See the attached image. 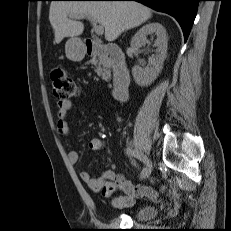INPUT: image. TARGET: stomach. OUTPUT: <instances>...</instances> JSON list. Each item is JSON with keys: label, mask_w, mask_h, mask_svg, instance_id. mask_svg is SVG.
Returning <instances> with one entry per match:
<instances>
[{"label": "stomach", "mask_w": 231, "mask_h": 231, "mask_svg": "<svg viewBox=\"0 0 231 231\" xmlns=\"http://www.w3.org/2000/svg\"><path fill=\"white\" fill-rule=\"evenodd\" d=\"M85 52V46L79 38L71 37L67 40L65 53L69 60L79 62L84 58Z\"/></svg>", "instance_id": "1"}]
</instances>
